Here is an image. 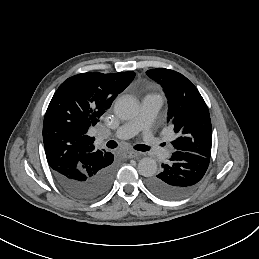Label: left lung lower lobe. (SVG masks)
Returning a JSON list of instances; mask_svg holds the SVG:
<instances>
[{"instance_id": "1", "label": "left lung lower lobe", "mask_w": 259, "mask_h": 259, "mask_svg": "<svg viewBox=\"0 0 259 259\" xmlns=\"http://www.w3.org/2000/svg\"><path fill=\"white\" fill-rule=\"evenodd\" d=\"M210 158L195 153L176 151L163 171L147 180L148 189L160 198L180 199L194 190L205 175Z\"/></svg>"}]
</instances>
